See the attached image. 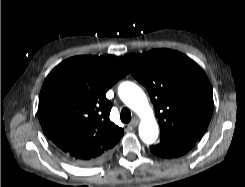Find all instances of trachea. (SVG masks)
Segmentation results:
<instances>
[{
  "label": "trachea",
  "instance_id": "obj_1",
  "mask_svg": "<svg viewBox=\"0 0 245 187\" xmlns=\"http://www.w3.org/2000/svg\"><path fill=\"white\" fill-rule=\"evenodd\" d=\"M120 119L123 123H128L131 121V113L129 109L123 108L120 112Z\"/></svg>",
  "mask_w": 245,
  "mask_h": 187
}]
</instances>
